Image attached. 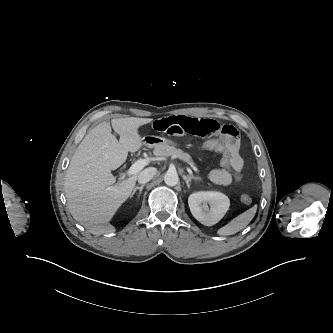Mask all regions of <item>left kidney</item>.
<instances>
[{
    "mask_svg": "<svg viewBox=\"0 0 333 333\" xmlns=\"http://www.w3.org/2000/svg\"><path fill=\"white\" fill-rule=\"evenodd\" d=\"M188 204L195 219L203 225L212 226L225 215L229 209L230 201L221 192L201 191L191 194Z\"/></svg>",
    "mask_w": 333,
    "mask_h": 333,
    "instance_id": "obj_1",
    "label": "left kidney"
}]
</instances>
